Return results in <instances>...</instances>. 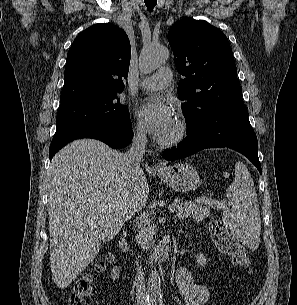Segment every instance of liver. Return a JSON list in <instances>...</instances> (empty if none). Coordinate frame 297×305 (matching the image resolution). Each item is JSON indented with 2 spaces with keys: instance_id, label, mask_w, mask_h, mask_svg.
<instances>
[{
  "instance_id": "liver-1",
  "label": "liver",
  "mask_w": 297,
  "mask_h": 305,
  "mask_svg": "<svg viewBox=\"0 0 297 305\" xmlns=\"http://www.w3.org/2000/svg\"><path fill=\"white\" fill-rule=\"evenodd\" d=\"M124 155L93 139L62 148L48 171L50 267L58 288L68 287L131 217L132 197L145 205L143 171L132 177Z\"/></svg>"
}]
</instances>
